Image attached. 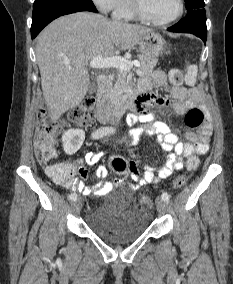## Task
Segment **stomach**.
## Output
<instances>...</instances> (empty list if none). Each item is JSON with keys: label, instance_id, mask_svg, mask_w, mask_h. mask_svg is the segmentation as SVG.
I'll use <instances>...</instances> for the list:
<instances>
[{"label": "stomach", "instance_id": "stomach-1", "mask_svg": "<svg viewBox=\"0 0 233 284\" xmlns=\"http://www.w3.org/2000/svg\"><path fill=\"white\" fill-rule=\"evenodd\" d=\"M139 46L143 56L156 60L165 50L166 42L160 34L150 32L142 37Z\"/></svg>", "mask_w": 233, "mask_h": 284}]
</instances>
